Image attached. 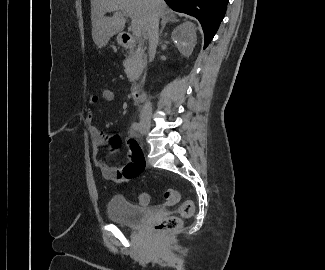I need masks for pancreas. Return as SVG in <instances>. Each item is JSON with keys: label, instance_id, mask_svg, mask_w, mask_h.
<instances>
[{"label": "pancreas", "instance_id": "1", "mask_svg": "<svg viewBox=\"0 0 325 270\" xmlns=\"http://www.w3.org/2000/svg\"><path fill=\"white\" fill-rule=\"evenodd\" d=\"M147 62L145 51L138 47L136 50L131 49L129 55L124 61L125 73L130 82L139 78Z\"/></svg>", "mask_w": 325, "mask_h": 270}]
</instances>
